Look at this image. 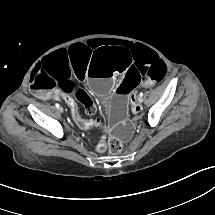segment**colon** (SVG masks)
Returning <instances> with one entry per match:
<instances>
[{"label":"colon","instance_id":"colon-1","mask_svg":"<svg viewBox=\"0 0 215 215\" xmlns=\"http://www.w3.org/2000/svg\"><path fill=\"white\" fill-rule=\"evenodd\" d=\"M80 99L82 100V102L84 103L85 106V111L88 115H95L98 112V108L96 106V104L93 101H90L86 98H83L82 96H80ZM109 148L112 152H119L122 150V144L120 143L119 140H112L109 143Z\"/></svg>","mask_w":215,"mask_h":215}]
</instances>
